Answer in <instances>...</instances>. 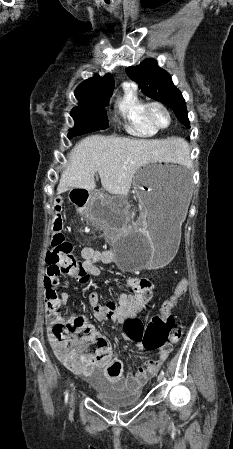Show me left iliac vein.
Wrapping results in <instances>:
<instances>
[{"instance_id": "4c4485c4", "label": "left iliac vein", "mask_w": 233, "mask_h": 449, "mask_svg": "<svg viewBox=\"0 0 233 449\" xmlns=\"http://www.w3.org/2000/svg\"><path fill=\"white\" fill-rule=\"evenodd\" d=\"M163 380V376L161 375V374H159L158 376H157V381L158 382H161Z\"/></svg>"}]
</instances>
